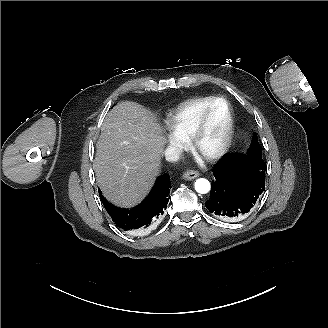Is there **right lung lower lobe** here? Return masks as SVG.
<instances>
[{
    "mask_svg": "<svg viewBox=\"0 0 328 328\" xmlns=\"http://www.w3.org/2000/svg\"><path fill=\"white\" fill-rule=\"evenodd\" d=\"M170 189V177L168 174H164L156 180L144 201L132 209L116 207L104 199L100 192L99 195L116 226L124 231H130L149 227L164 213L169 201Z\"/></svg>",
    "mask_w": 328,
    "mask_h": 328,
    "instance_id": "1",
    "label": "right lung lower lobe"
}]
</instances>
